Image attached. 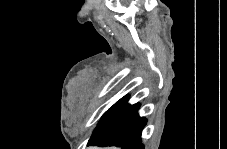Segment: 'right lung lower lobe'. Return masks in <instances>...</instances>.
<instances>
[{"instance_id": "98d812e1", "label": "right lung lower lobe", "mask_w": 227, "mask_h": 149, "mask_svg": "<svg viewBox=\"0 0 227 149\" xmlns=\"http://www.w3.org/2000/svg\"><path fill=\"white\" fill-rule=\"evenodd\" d=\"M139 107V103L129 106L117 119L97 129L91 136L88 145L144 149L141 143V133L147 120L139 116Z\"/></svg>"}]
</instances>
